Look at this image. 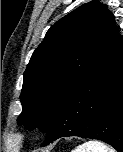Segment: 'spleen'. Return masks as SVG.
Returning <instances> with one entry per match:
<instances>
[{"instance_id":"spleen-1","label":"spleen","mask_w":123,"mask_h":152,"mask_svg":"<svg viewBox=\"0 0 123 152\" xmlns=\"http://www.w3.org/2000/svg\"><path fill=\"white\" fill-rule=\"evenodd\" d=\"M72 152H114L113 149L99 141H88L77 146Z\"/></svg>"}]
</instances>
